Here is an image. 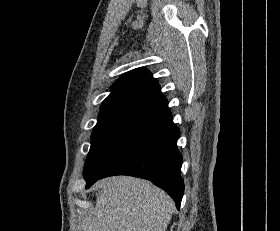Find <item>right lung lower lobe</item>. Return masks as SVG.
Segmentation results:
<instances>
[{
	"label": "right lung lower lobe",
	"mask_w": 280,
	"mask_h": 231,
	"mask_svg": "<svg viewBox=\"0 0 280 231\" xmlns=\"http://www.w3.org/2000/svg\"><path fill=\"white\" fill-rule=\"evenodd\" d=\"M179 134L170 111L128 128L89 162L83 171L85 188L108 176H135L165 190L179 209L184 193L182 155L176 146Z\"/></svg>",
	"instance_id": "right-lung-lower-lobe-1"
}]
</instances>
